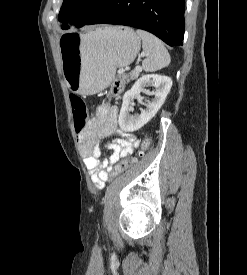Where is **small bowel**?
<instances>
[{
    "instance_id": "1",
    "label": "small bowel",
    "mask_w": 247,
    "mask_h": 275,
    "mask_svg": "<svg viewBox=\"0 0 247 275\" xmlns=\"http://www.w3.org/2000/svg\"><path fill=\"white\" fill-rule=\"evenodd\" d=\"M111 135L116 136L108 144L111 155L102 160L99 140ZM78 140L85 166L94 185L99 189L103 188L109 179L113 166L121 158L132 154L140 144L138 136L125 134L118 128V108L106 104L97 107L88 128L79 135Z\"/></svg>"
}]
</instances>
